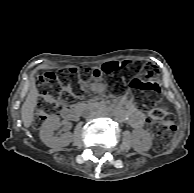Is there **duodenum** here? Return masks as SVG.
Segmentation results:
<instances>
[{
    "instance_id": "duodenum-1",
    "label": "duodenum",
    "mask_w": 194,
    "mask_h": 193,
    "mask_svg": "<svg viewBox=\"0 0 194 193\" xmlns=\"http://www.w3.org/2000/svg\"><path fill=\"white\" fill-rule=\"evenodd\" d=\"M78 113H79V108L75 104L66 106L62 111L63 117L69 120L76 118L78 116Z\"/></svg>"
}]
</instances>
